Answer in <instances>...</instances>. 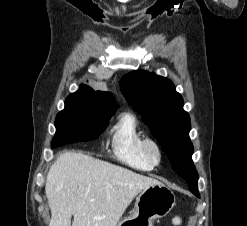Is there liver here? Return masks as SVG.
I'll list each match as a JSON object with an SVG mask.
<instances>
[{
  "label": "liver",
  "mask_w": 247,
  "mask_h": 226,
  "mask_svg": "<svg viewBox=\"0 0 247 226\" xmlns=\"http://www.w3.org/2000/svg\"><path fill=\"white\" fill-rule=\"evenodd\" d=\"M160 183L83 153L60 154L50 167L45 193L49 226H116L132 200Z\"/></svg>",
  "instance_id": "obj_1"
}]
</instances>
